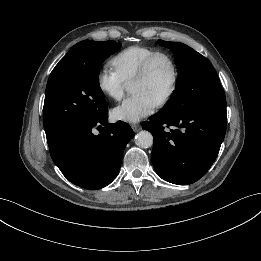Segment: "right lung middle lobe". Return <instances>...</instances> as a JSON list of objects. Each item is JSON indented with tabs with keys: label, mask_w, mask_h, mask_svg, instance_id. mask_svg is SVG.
Here are the masks:
<instances>
[{
	"label": "right lung middle lobe",
	"mask_w": 261,
	"mask_h": 261,
	"mask_svg": "<svg viewBox=\"0 0 261 261\" xmlns=\"http://www.w3.org/2000/svg\"><path fill=\"white\" fill-rule=\"evenodd\" d=\"M120 46L113 41L84 40L74 45L55 66L48 79L43 107L48 143L108 113L99 85V67Z\"/></svg>",
	"instance_id": "obj_1"
}]
</instances>
